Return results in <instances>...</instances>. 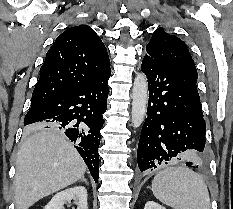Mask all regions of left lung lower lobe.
<instances>
[{
    "instance_id": "0a47b994",
    "label": "left lung lower lobe",
    "mask_w": 233,
    "mask_h": 209,
    "mask_svg": "<svg viewBox=\"0 0 233 209\" xmlns=\"http://www.w3.org/2000/svg\"><path fill=\"white\" fill-rule=\"evenodd\" d=\"M141 70L148 79L149 101L137 149L140 171L178 160L188 167H198L206 124L197 77L148 55ZM190 152L193 154L189 157Z\"/></svg>"
}]
</instances>
